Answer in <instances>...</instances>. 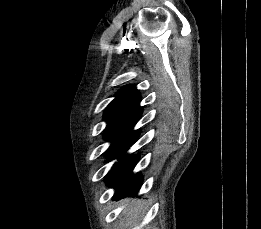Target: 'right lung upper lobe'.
Returning <instances> with one entry per match:
<instances>
[{
    "instance_id": "cb5924a9",
    "label": "right lung upper lobe",
    "mask_w": 261,
    "mask_h": 229,
    "mask_svg": "<svg viewBox=\"0 0 261 229\" xmlns=\"http://www.w3.org/2000/svg\"><path fill=\"white\" fill-rule=\"evenodd\" d=\"M140 101L139 91L134 85H128L117 92L116 98L106 108L104 138L112 141L108 150H125L132 144L133 135L138 133L133 131V126L142 115Z\"/></svg>"
}]
</instances>
